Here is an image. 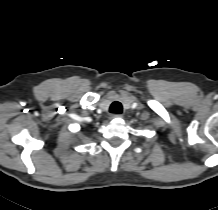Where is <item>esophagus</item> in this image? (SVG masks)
<instances>
[{
  "label": "esophagus",
  "mask_w": 218,
  "mask_h": 210,
  "mask_svg": "<svg viewBox=\"0 0 218 210\" xmlns=\"http://www.w3.org/2000/svg\"><path fill=\"white\" fill-rule=\"evenodd\" d=\"M122 117V115L121 114H113V115H111V118H121Z\"/></svg>",
  "instance_id": "obj_1"
}]
</instances>
